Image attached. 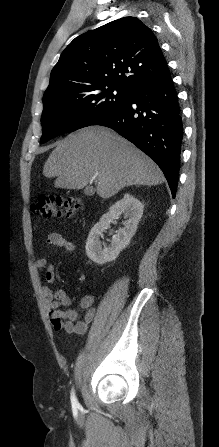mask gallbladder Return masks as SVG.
<instances>
[{
  "label": "gallbladder",
  "mask_w": 219,
  "mask_h": 447,
  "mask_svg": "<svg viewBox=\"0 0 219 447\" xmlns=\"http://www.w3.org/2000/svg\"><path fill=\"white\" fill-rule=\"evenodd\" d=\"M95 190L93 187H87L84 189V194L87 196H92L94 194Z\"/></svg>",
  "instance_id": "1"
}]
</instances>
